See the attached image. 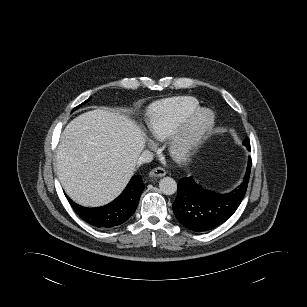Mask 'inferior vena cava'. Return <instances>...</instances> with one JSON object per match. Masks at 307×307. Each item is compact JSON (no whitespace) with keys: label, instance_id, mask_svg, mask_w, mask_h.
<instances>
[{"label":"inferior vena cava","instance_id":"inferior-vena-cava-1","mask_svg":"<svg viewBox=\"0 0 307 307\" xmlns=\"http://www.w3.org/2000/svg\"><path fill=\"white\" fill-rule=\"evenodd\" d=\"M153 153L149 150H145L141 153V155L138 158V164L142 163H149L153 160Z\"/></svg>","mask_w":307,"mask_h":307}]
</instances>
